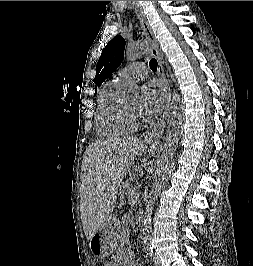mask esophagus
<instances>
[{"label": "esophagus", "instance_id": "esophagus-1", "mask_svg": "<svg viewBox=\"0 0 253 266\" xmlns=\"http://www.w3.org/2000/svg\"><path fill=\"white\" fill-rule=\"evenodd\" d=\"M132 4H133V7L135 9L136 15L139 19V22L141 24L143 33L145 34L146 39L148 40V42L150 44L151 55L156 57V59H157L158 75H159V77H160V79L164 85L166 95H167L166 105H165V109H164L162 116L159 118V120L154 125V127L145 136L144 142L146 144H150V143L158 141L164 132L168 113H169V107H170V103H171L172 93H171L169 81H168L167 76H166L165 71H164L163 59H162V56L160 54L158 42H157V40H156V38L152 32V29H151L145 15H144L143 11L139 7V4L137 3V1H132Z\"/></svg>", "mask_w": 253, "mask_h": 266}]
</instances>
